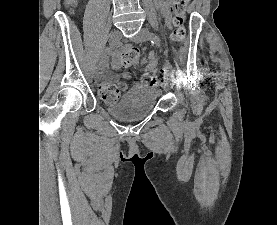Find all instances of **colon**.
I'll return each instance as SVG.
<instances>
[{"instance_id": "obj_1", "label": "colon", "mask_w": 277, "mask_h": 225, "mask_svg": "<svg viewBox=\"0 0 277 225\" xmlns=\"http://www.w3.org/2000/svg\"><path fill=\"white\" fill-rule=\"evenodd\" d=\"M190 0H174L171 6L173 13V34L172 37L175 41L180 42L185 38L186 30L184 27L185 23V9ZM67 6L72 9L77 5V0H66ZM141 55L139 50L130 49L123 52L118 60L116 61L120 66H132L140 61ZM163 81L161 72L146 73L143 75L142 82L145 87H154L159 85ZM125 90L123 83L108 84L101 86L98 90L99 98L106 102L116 101L122 91Z\"/></svg>"}]
</instances>
